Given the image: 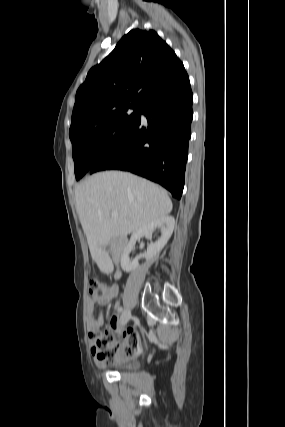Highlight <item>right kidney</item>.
<instances>
[{"instance_id":"right-kidney-1","label":"right kidney","mask_w":285,"mask_h":427,"mask_svg":"<svg viewBox=\"0 0 285 427\" xmlns=\"http://www.w3.org/2000/svg\"><path fill=\"white\" fill-rule=\"evenodd\" d=\"M174 225V218L172 216L166 215L133 232L129 243L126 245L121 256L122 269L125 272H131L135 270L138 267L139 259L141 258H145L147 261H152L154 257H156V255L160 252V250L167 244L173 233ZM157 227L161 228V237L155 243L148 245L146 253L140 254L135 259L131 260L129 254L131 253L136 242L143 236L151 235L153 230Z\"/></svg>"}]
</instances>
